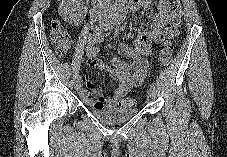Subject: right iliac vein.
I'll return each instance as SVG.
<instances>
[{"mask_svg":"<svg viewBox=\"0 0 227 157\" xmlns=\"http://www.w3.org/2000/svg\"><path fill=\"white\" fill-rule=\"evenodd\" d=\"M81 86H82L81 80H80V79H77V80L74 82V88H75L76 90H80Z\"/></svg>","mask_w":227,"mask_h":157,"instance_id":"63e3f726","label":"right iliac vein"}]
</instances>
